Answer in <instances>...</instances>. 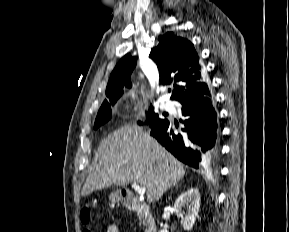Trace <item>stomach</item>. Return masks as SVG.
Instances as JSON below:
<instances>
[{
    "mask_svg": "<svg viewBox=\"0 0 289 232\" xmlns=\"http://www.w3.org/2000/svg\"><path fill=\"white\" fill-rule=\"evenodd\" d=\"M111 199H112V201H117V200L120 199V197H119V195L117 193H114V194L111 195Z\"/></svg>",
    "mask_w": 289,
    "mask_h": 232,
    "instance_id": "obj_1",
    "label": "stomach"
}]
</instances>
